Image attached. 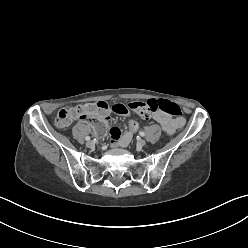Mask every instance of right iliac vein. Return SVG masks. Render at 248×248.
I'll return each mask as SVG.
<instances>
[{
	"label": "right iliac vein",
	"mask_w": 248,
	"mask_h": 248,
	"mask_svg": "<svg viewBox=\"0 0 248 248\" xmlns=\"http://www.w3.org/2000/svg\"><path fill=\"white\" fill-rule=\"evenodd\" d=\"M86 146L89 147V148H93L94 147V142L93 141H87Z\"/></svg>",
	"instance_id": "1"
}]
</instances>
